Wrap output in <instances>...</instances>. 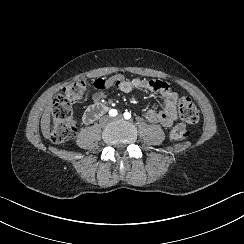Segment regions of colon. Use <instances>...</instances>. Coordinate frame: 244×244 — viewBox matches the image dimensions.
<instances>
[{
	"label": "colon",
	"mask_w": 244,
	"mask_h": 244,
	"mask_svg": "<svg viewBox=\"0 0 244 244\" xmlns=\"http://www.w3.org/2000/svg\"><path fill=\"white\" fill-rule=\"evenodd\" d=\"M86 87L87 83L84 80H76L69 83L57 95L52 111L53 143L61 144L74 136L76 122L72 115L73 104L85 95ZM178 108L181 121L171 130V137L175 142L185 140L189 134V127L196 124L200 118L198 107L186 96L178 98Z\"/></svg>",
	"instance_id": "5ec220e1"
}]
</instances>
